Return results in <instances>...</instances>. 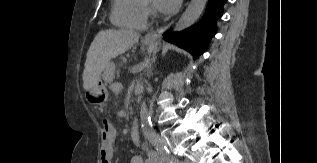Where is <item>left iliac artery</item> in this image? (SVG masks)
I'll return each mask as SVG.
<instances>
[{"label": "left iliac artery", "instance_id": "obj_1", "mask_svg": "<svg viewBox=\"0 0 317 163\" xmlns=\"http://www.w3.org/2000/svg\"><path fill=\"white\" fill-rule=\"evenodd\" d=\"M170 163H178V160H176L175 158H171Z\"/></svg>", "mask_w": 317, "mask_h": 163}]
</instances>
